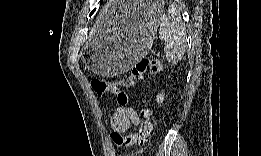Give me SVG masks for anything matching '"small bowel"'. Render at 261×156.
<instances>
[{
    "label": "small bowel",
    "instance_id": "1",
    "mask_svg": "<svg viewBox=\"0 0 261 156\" xmlns=\"http://www.w3.org/2000/svg\"><path fill=\"white\" fill-rule=\"evenodd\" d=\"M139 121L138 115L132 108L121 106L113 112L110 124L114 132L121 134L132 126H137Z\"/></svg>",
    "mask_w": 261,
    "mask_h": 156
}]
</instances>
